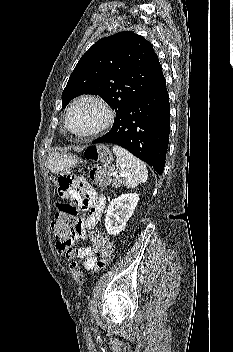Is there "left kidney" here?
I'll return each mask as SVG.
<instances>
[{"label":"left kidney","mask_w":233,"mask_h":352,"mask_svg":"<svg viewBox=\"0 0 233 352\" xmlns=\"http://www.w3.org/2000/svg\"><path fill=\"white\" fill-rule=\"evenodd\" d=\"M138 201L137 193H128L110 202L105 218V227L109 235H117L125 228Z\"/></svg>","instance_id":"obj_1"}]
</instances>
